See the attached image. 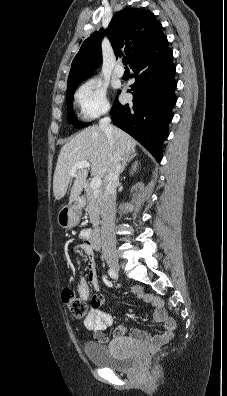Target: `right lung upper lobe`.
Here are the masks:
<instances>
[{"instance_id":"right-lung-upper-lobe-1","label":"right lung upper lobe","mask_w":227,"mask_h":396,"mask_svg":"<svg viewBox=\"0 0 227 396\" xmlns=\"http://www.w3.org/2000/svg\"><path fill=\"white\" fill-rule=\"evenodd\" d=\"M105 30L94 32L81 45L75 56L68 77L67 90L94 73V67L102 58L101 41ZM115 55L124 51L129 65L144 51L167 41L162 25L154 14L140 8H126L117 12L106 31Z\"/></svg>"}]
</instances>
